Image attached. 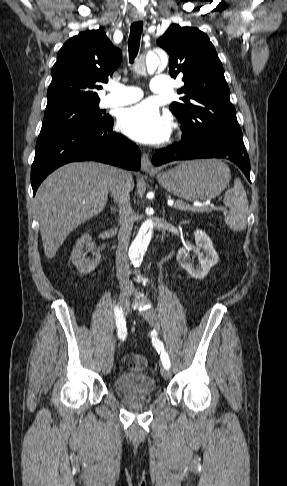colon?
<instances>
[{"instance_id": "colon-1", "label": "colon", "mask_w": 287, "mask_h": 486, "mask_svg": "<svg viewBox=\"0 0 287 486\" xmlns=\"http://www.w3.org/2000/svg\"><path fill=\"white\" fill-rule=\"evenodd\" d=\"M124 362L127 369L132 371H142L147 366L146 358L139 354L126 355Z\"/></svg>"}]
</instances>
